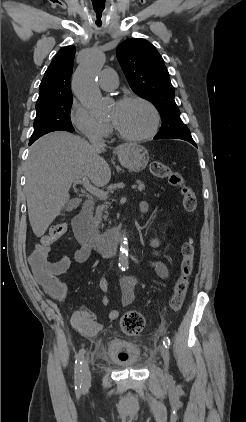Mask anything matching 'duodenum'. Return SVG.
I'll return each mask as SVG.
<instances>
[{
  "instance_id": "1",
  "label": "duodenum",
  "mask_w": 246,
  "mask_h": 422,
  "mask_svg": "<svg viewBox=\"0 0 246 422\" xmlns=\"http://www.w3.org/2000/svg\"><path fill=\"white\" fill-rule=\"evenodd\" d=\"M94 201L87 199L80 211L73 218L72 226L77 240L103 257L118 252L124 238V229H113L107 232L98 231L91 223Z\"/></svg>"
}]
</instances>
